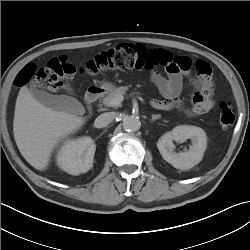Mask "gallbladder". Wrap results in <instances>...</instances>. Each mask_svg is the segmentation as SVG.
<instances>
[{"label":"gallbladder","mask_w":250,"mask_h":250,"mask_svg":"<svg viewBox=\"0 0 250 250\" xmlns=\"http://www.w3.org/2000/svg\"><path fill=\"white\" fill-rule=\"evenodd\" d=\"M33 82L31 85L32 95L42 105L50 107L53 110L71 113L83 114L84 106L76 99L68 95H52L44 90H40Z\"/></svg>","instance_id":"gallbladder-1"}]
</instances>
